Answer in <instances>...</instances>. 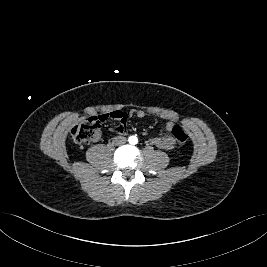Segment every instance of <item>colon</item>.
I'll return each instance as SVG.
<instances>
[{
    "label": "colon",
    "mask_w": 267,
    "mask_h": 267,
    "mask_svg": "<svg viewBox=\"0 0 267 267\" xmlns=\"http://www.w3.org/2000/svg\"><path fill=\"white\" fill-rule=\"evenodd\" d=\"M119 117L125 119L124 114H119ZM108 118L107 115H98L83 119L71 128L69 132L71 141L77 145H84L96 140L103 122ZM171 134L180 145H185L188 142V135L178 125L171 128Z\"/></svg>",
    "instance_id": "1"
}]
</instances>
